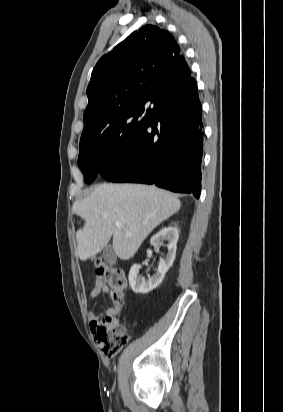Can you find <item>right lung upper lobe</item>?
I'll return each instance as SVG.
<instances>
[{
    "mask_svg": "<svg viewBox=\"0 0 283 412\" xmlns=\"http://www.w3.org/2000/svg\"><path fill=\"white\" fill-rule=\"evenodd\" d=\"M190 74L169 32L153 25L133 32L93 69L81 138L102 131L134 105L159 103Z\"/></svg>",
    "mask_w": 283,
    "mask_h": 412,
    "instance_id": "right-lung-upper-lobe-1",
    "label": "right lung upper lobe"
}]
</instances>
